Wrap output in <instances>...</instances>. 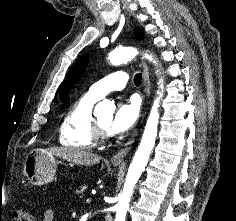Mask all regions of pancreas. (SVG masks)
Here are the masks:
<instances>
[{
  "mask_svg": "<svg viewBox=\"0 0 236 221\" xmlns=\"http://www.w3.org/2000/svg\"><path fill=\"white\" fill-rule=\"evenodd\" d=\"M84 193V187H80V189L79 190H76V194H83Z\"/></svg>",
  "mask_w": 236,
  "mask_h": 221,
  "instance_id": "pancreas-1",
  "label": "pancreas"
}]
</instances>
